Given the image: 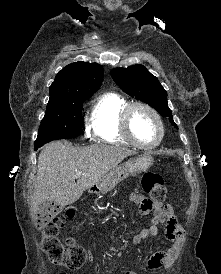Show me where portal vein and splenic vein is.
Segmentation results:
<instances>
[{
  "mask_svg": "<svg viewBox=\"0 0 221 274\" xmlns=\"http://www.w3.org/2000/svg\"><path fill=\"white\" fill-rule=\"evenodd\" d=\"M82 175V173L81 172H76V174H75V178H78V177H80Z\"/></svg>",
  "mask_w": 221,
  "mask_h": 274,
  "instance_id": "portal-vein-and-splenic-vein-1",
  "label": "portal vein and splenic vein"
}]
</instances>
